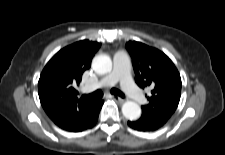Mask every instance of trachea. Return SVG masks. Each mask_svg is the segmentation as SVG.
Here are the masks:
<instances>
[{
    "label": "trachea",
    "instance_id": "obj_1",
    "mask_svg": "<svg viewBox=\"0 0 225 155\" xmlns=\"http://www.w3.org/2000/svg\"><path fill=\"white\" fill-rule=\"evenodd\" d=\"M111 93L114 94V95L120 96L122 98L125 97V95L120 90H118L116 88H112ZM102 96H103L102 90H96L95 92H93L91 94L85 95V97H87V98H100Z\"/></svg>",
    "mask_w": 225,
    "mask_h": 155
}]
</instances>
